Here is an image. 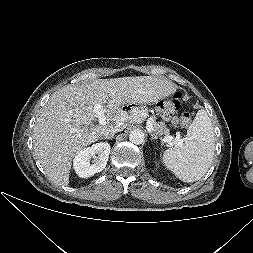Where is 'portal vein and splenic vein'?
<instances>
[{"instance_id":"18ae733b","label":"portal vein and splenic vein","mask_w":253,"mask_h":253,"mask_svg":"<svg viewBox=\"0 0 253 253\" xmlns=\"http://www.w3.org/2000/svg\"><path fill=\"white\" fill-rule=\"evenodd\" d=\"M94 112L96 114V117L98 118L99 124L100 125H105L108 121L106 115H105V111L103 110V106L100 103H97L94 105ZM147 130L149 132L153 131V124L152 122H148L147 124ZM179 138V137H178ZM164 142H171L172 141V137L171 136H166L163 139Z\"/></svg>"}]
</instances>
